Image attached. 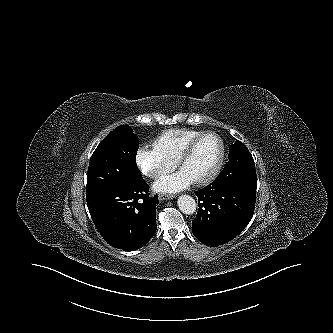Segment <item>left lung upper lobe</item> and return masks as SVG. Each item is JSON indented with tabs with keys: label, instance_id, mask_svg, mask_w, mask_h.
Instances as JSON below:
<instances>
[{
	"label": "left lung upper lobe",
	"instance_id": "1",
	"mask_svg": "<svg viewBox=\"0 0 333 333\" xmlns=\"http://www.w3.org/2000/svg\"><path fill=\"white\" fill-rule=\"evenodd\" d=\"M228 159L229 161L226 163L224 169L229 168L231 172L235 173L237 184L256 190L257 177L255 163L246 146L237 140L236 143L229 147Z\"/></svg>",
	"mask_w": 333,
	"mask_h": 333
}]
</instances>
